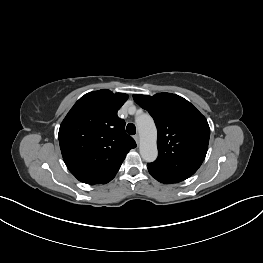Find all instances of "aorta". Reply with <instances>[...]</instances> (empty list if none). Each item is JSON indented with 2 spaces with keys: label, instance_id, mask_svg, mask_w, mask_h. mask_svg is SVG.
Wrapping results in <instances>:
<instances>
[{
  "label": "aorta",
  "instance_id": "aorta-1",
  "mask_svg": "<svg viewBox=\"0 0 263 263\" xmlns=\"http://www.w3.org/2000/svg\"><path fill=\"white\" fill-rule=\"evenodd\" d=\"M137 128L140 135V155L146 162H153L158 155L157 129L153 119L149 115L137 120Z\"/></svg>",
  "mask_w": 263,
  "mask_h": 263
}]
</instances>
